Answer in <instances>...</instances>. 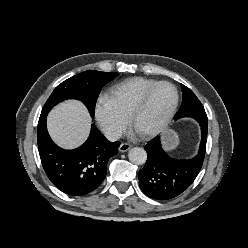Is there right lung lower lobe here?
I'll list each match as a JSON object with an SVG mask.
<instances>
[{
  "label": "right lung lower lobe",
  "instance_id": "right-lung-lower-lobe-1",
  "mask_svg": "<svg viewBox=\"0 0 248 248\" xmlns=\"http://www.w3.org/2000/svg\"><path fill=\"white\" fill-rule=\"evenodd\" d=\"M46 116L40 115L37 130L39 155L46 175L68 195L83 196L94 191L104 180L107 162L117 154L120 143L109 142L92 125L90 136L82 146L61 149L48 134Z\"/></svg>",
  "mask_w": 248,
  "mask_h": 248
}]
</instances>
